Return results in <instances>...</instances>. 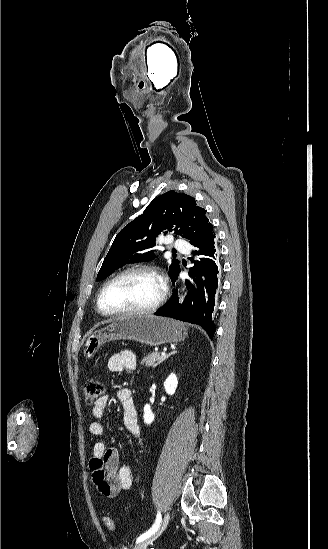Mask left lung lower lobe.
<instances>
[{
	"mask_svg": "<svg viewBox=\"0 0 328 549\" xmlns=\"http://www.w3.org/2000/svg\"><path fill=\"white\" fill-rule=\"evenodd\" d=\"M196 248L193 254L198 258L193 260L194 266L189 269L193 282L186 281L188 292L185 300L179 303L177 290H174L170 300L155 314L199 324L205 328L212 339L216 331L212 318L221 287L219 250L215 235ZM177 277L178 274L174 282Z\"/></svg>",
	"mask_w": 328,
	"mask_h": 549,
	"instance_id": "obj_1",
	"label": "left lung lower lobe"
}]
</instances>
